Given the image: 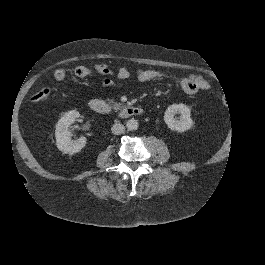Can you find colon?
Wrapping results in <instances>:
<instances>
[{
  "label": "colon",
  "instance_id": "5ec220e1",
  "mask_svg": "<svg viewBox=\"0 0 265 265\" xmlns=\"http://www.w3.org/2000/svg\"><path fill=\"white\" fill-rule=\"evenodd\" d=\"M92 69L87 66H79L75 69V74L79 77H86L90 75ZM53 76L56 80H63L66 77V71L62 68L56 69L53 73ZM50 95V90L46 87L38 89L36 92L33 93L31 96L32 102H42L47 99Z\"/></svg>",
  "mask_w": 265,
  "mask_h": 265
}]
</instances>
